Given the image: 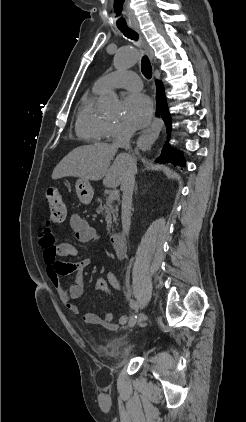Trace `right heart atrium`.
<instances>
[{"instance_id":"1","label":"right heart atrium","mask_w":246,"mask_h":422,"mask_svg":"<svg viewBox=\"0 0 246 422\" xmlns=\"http://www.w3.org/2000/svg\"><path fill=\"white\" fill-rule=\"evenodd\" d=\"M130 133L128 127H126L123 123L117 121H107L106 130H105V138L109 140H114L125 136Z\"/></svg>"}]
</instances>
